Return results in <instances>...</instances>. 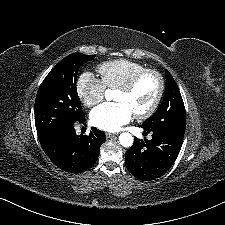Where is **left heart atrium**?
Here are the masks:
<instances>
[{"instance_id": "39dd6f15", "label": "left heart atrium", "mask_w": 225, "mask_h": 225, "mask_svg": "<svg viewBox=\"0 0 225 225\" xmlns=\"http://www.w3.org/2000/svg\"><path fill=\"white\" fill-rule=\"evenodd\" d=\"M133 113L123 103H103L92 110V124L102 130L113 132L130 122Z\"/></svg>"}]
</instances>
